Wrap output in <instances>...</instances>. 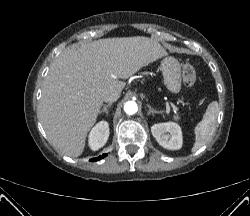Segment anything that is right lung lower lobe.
<instances>
[{"label":"right lung lower lobe","instance_id":"obj_1","mask_svg":"<svg viewBox=\"0 0 250 216\" xmlns=\"http://www.w3.org/2000/svg\"><path fill=\"white\" fill-rule=\"evenodd\" d=\"M105 156H107V154H103L102 156H99L97 158L91 159L90 161H98V160L104 158Z\"/></svg>","mask_w":250,"mask_h":216}]
</instances>
